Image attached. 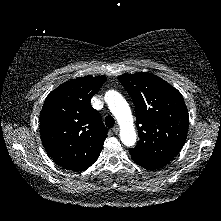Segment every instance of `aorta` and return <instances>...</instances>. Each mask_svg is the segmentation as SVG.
Returning a JSON list of instances; mask_svg holds the SVG:
<instances>
[{
  "label": "aorta",
  "mask_w": 221,
  "mask_h": 221,
  "mask_svg": "<svg viewBox=\"0 0 221 221\" xmlns=\"http://www.w3.org/2000/svg\"><path fill=\"white\" fill-rule=\"evenodd\" d=\"M105 100L120 125L121 142L128 147L133 146L136 142V132L127 101L114 90H110L105 94Z\"/></svg>",
  "instance_id": "762f6f07"
}]
</instances>
